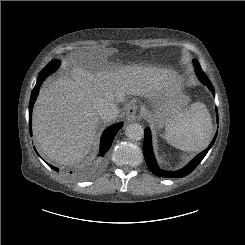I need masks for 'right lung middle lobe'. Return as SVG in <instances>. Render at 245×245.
Returning a JSON list of instances; mask_svg holds the SVG:
<instances>
[{
    "label": "right lung middle lobe",
    "mask_w": 245,
    "mask_h": 245,
    "mask_svg": "<svg viewBox=\"0 0 245 245\" xmlns=\"http://www.w3.org/2000/svg\"><path fill=\"white\" fill-rule=\"evenodd\" d=\"M59 64H60L59 60H57V59L52 60L50 63H48L45 66V68H43V70L39 73V75L43 74V73L46 75L52 73L53 71H55L58 68Z\"/></svg>",
    "instance_id": "obj_1"
}]
</instances>
